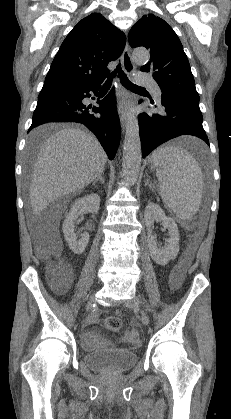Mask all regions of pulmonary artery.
<instances>
[{
    "mask_svg": "<svg viewBox=\"0 0 231 419\" xmlns=\"http://www.w3.org/2000/svg\"><path fill=\"white\" fill-rule=\"evenodd\" d=\"M138 83L150 88L153 91L154 97L156 98L157 101L161 100L162 91L159 85L157 84V82L153 78L146 75H140L138 76Z\"/></svg>",
    "mask_w": 231,
    "mask_h": 419,
    "instance_id": "obj_1",
    "label": "pulmonary artery"
}]
</instances>
